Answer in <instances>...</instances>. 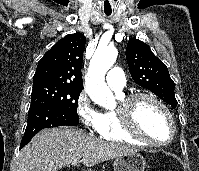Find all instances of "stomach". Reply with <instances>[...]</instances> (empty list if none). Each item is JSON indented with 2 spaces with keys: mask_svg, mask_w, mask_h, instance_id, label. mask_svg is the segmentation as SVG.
I'll use <instances>...</instances> for the list:
<instances>
[{
  "mask_svg": "<svg viewBox=\"0 0 199 171\" xmlns=\"http://www.w3.org/2000/svg\"><path fill=\"white\" fill-rule=\"evenodd\" d=\"M145 167V159L140 153L121 155L114 161V171H145Z\"/></svg>",
  "mask_w": 199,
  "mask_h": 171,
  "instance_id": "0dacf381",
  "label": "stomach"
}]
</instances>
